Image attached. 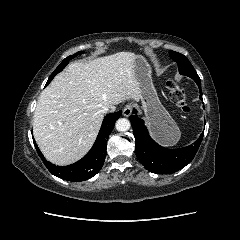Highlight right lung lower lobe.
<instances>
[{
  "label": "right lung lower lobe",
  "instance_id": "right-lung-lower-lobe-1",
  "mask_svg": "<svg viewBox=\"0 0 240 240\" xmlns=\"http://www.w3.org/2000/svg\"><path fill=\"white\" fill-rule=\"evenodd\" d=\"M49 84V83H48ZM122 111L108 114L102 123L101 129L97 139L91 150L78 162L69 166H55L49 161L45 160L40 152L36 142L38 155L43 160V163L48 170L55 176L69 181H83L96 175L102 168L106 156V142L112 132L116 120L120 117Z\"/></svg>",
  "mask_w": 240,
  "mask_h": 240
}]
</instances>
